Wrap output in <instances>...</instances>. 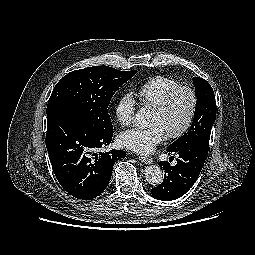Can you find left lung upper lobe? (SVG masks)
I'll return each mask as SVG.
<instances>
[{"instance_id": "left-lung-upper-lobe-1", "label": "left lung upper lobe", "mask_w": 255, "mask_h": 255, "mask_svg": "<svg viewBox=\"0 0 255 255\" xmlns=\"http://www.w3.org/2000/svg\"><path fill=\"white\" fill-rule=\"evenodd\" d=\"M197 97L194 119L189 131L173 142L168 150H178L191 145L209 147L212 126L216 119V101L210 84L200 77L194 78Z\"/></svg>"}]
</instances>
